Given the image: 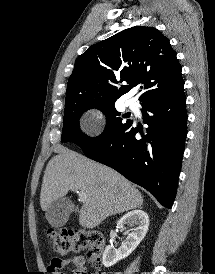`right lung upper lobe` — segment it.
Listing matches in <instances>:
<instances>
[{
    "instance_id": "1",
    "label": "right lung upper lobe",
    "mask_w": 215,
    "mask_h": 274,
    "mask_svg": "<svg viewBox=\"0 0 215 274\" xmlns=\"http://www.w3.org/2000/svg\"><path fill=\"white\" fill-rule=\"evenodd\" d=\"M126 82L129 85L119 86ZM141 84V104L183 92L181 65L168 38L153 27L135 26L93 44L76 61L65 105L115 102Z\"/></svg>"
}]
</instances>
